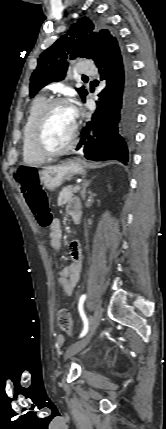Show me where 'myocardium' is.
Here are the masks:
<instances>
[{"mask_svg": "<svg viewBox=\"0 0 166 429\" xmlns=\"http://www.w3.org/2000/svg\"><path fill=\"white\" fill-rule=\"evenodd\" d=\"M60 104L67 105L71 109H73L71 104L69 103V101L66 98H63V97L50 98L43 104V106L39 110V112H38V114H37V116L33 122V125H32V129H31V133H30L31 149L36 154H38L44 158H53V157L61 156L65 153L69 152L74 147V145L76 143V138H77V133H78V124H77L75 115H74V123H73L72 131L70 134V139H69V142L67 143V145H65L64 147H62L58 150H47L46 148H44L42 146V144L40 142V133H41V129H42L43 122H44L46 115L54 106L60 105Z\"/></svg>", "mask_w": 166, "mask_h": 429, "instance_id": "myocardium-1", "label": "myocardium"}]
</instances>
